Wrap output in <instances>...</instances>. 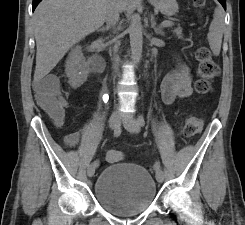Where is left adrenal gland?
Segmentation results:
<instances>
[{"label":"left adrenal gland","instance_id":"a2214340","mask_svg":"<svg viewBox=\"0 0 245 225\" xmlns=\"http://www.w3.org/2000/svg\"><path fill=\"white\" fill-rule=\"evenodd\" d=\"M151 27L154 29L157 35L164 36V32L160 28L156 27V22H155L153 15H151Z\"/></svg>","mask_w":245,"mask_h":225}]
</instances>
